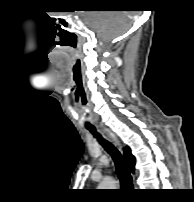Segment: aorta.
Listing matches in <instances>:
<instances>
[{
	"mask_svg": "<svg viewBox=\"0 0 194 202\" xmlns=\"http://www.w3.org/2000/svg\"><path fill=\"white\" fill-rule=\"evenodd\" d=\"M113 187V181L110 178H105L100 184L99 189H110Z\"/></svg>",
	"mask_w": 194,
	"mask_h": 202,
	"instance_id": "obj_1",
	"label": "aorta"
}]
</instances>
